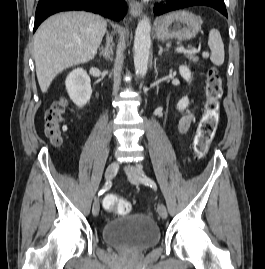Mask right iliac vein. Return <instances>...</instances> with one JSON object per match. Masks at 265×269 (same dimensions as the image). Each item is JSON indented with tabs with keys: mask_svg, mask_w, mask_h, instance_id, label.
<instances>
[{
	"mask_svg": "<svg viewBox=\"0 0 265 269\" xmlns=\"http://www.w3.org/2000/svg\"><path fill=\"white\" fill-rule=\"evenodd\" d=\"M119 169V164L117 162H112L108 165L106 171H105V178L106 180H111L115 177ZM100 211V203L99 199H95L92 206V213L94 216H97Z\"/></svg>",
	"mask_w": 265,
	"mask_h": 269,
	"instance_id": "63e3f726",
	"label": "right iliac vein"
}]
</instances>
